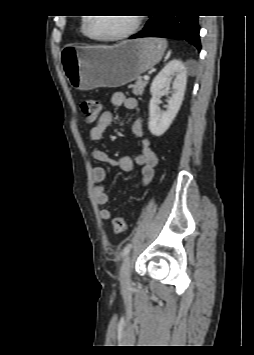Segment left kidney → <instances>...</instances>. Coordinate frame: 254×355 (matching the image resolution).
Wrapping results in <instances>:
<instances>
[{"label":"left kidney","instance_id":"1","mask_svg":"<svg viewBox=\"0 0 254 355\" xmlns=\"http://www.w3.org/2000/svg\"><path fill=\"white\" fill-rule=\"evenodd\" d=\"M172 78H174L172 82L173 94L168 100L167 110L160 111L158 108L160 95L165 88L170 87ZM186 82L185 65L178 59L167 63L153 80L150 87L152 98L149 104V130L153 135L161 136L170 127L182 104Z\"/></svg>","mask_w":254,"mask_h":355}]
</instances>
